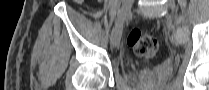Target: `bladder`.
Wrapping results in <instances>:
<instances>
[{"label": "bladder", "instance_id": "1", "mask_svg": "<svg viewBox=\"0 0 209 90\" xmlns=\"http://www.w3.org/2000/svg\"><path fill=\"white\" fill-rule=\"evenodd\" d=\"M138 79L143 88H151L157 86V77L153 69H142L138 72Z\"/></svg>", "mask_w": 209, "mask_h": 90}]
</instances>
